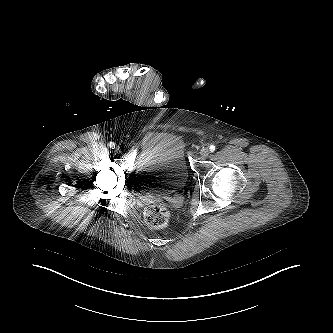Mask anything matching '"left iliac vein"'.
<instances>
[{
  "instance_id": "obj_1",
  "label": "left iliac vein",
  "mask_w": 333,
  "mask_h": 333,
  "mask_svg": "<svg viewBox=\"0 0 333 333\" xmlns=\"http://www.w3.org/2000/svg\"><path fill=\"white\" fill-rule=\"evenodd\" d=\"M200 155H201L203 158L207 157V156L209 155V150H208L207 148H202V149L200 150Z\"/></svg>"
}]
</instances>
